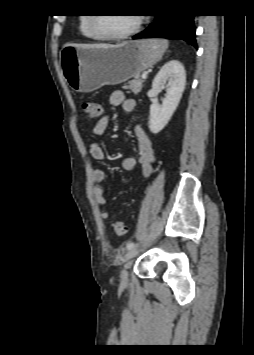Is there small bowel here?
Returning <instances> with one entry per match:
<instances>
[{
    "label": "small bowel",
    "instance_id": "c3829d8e",
    "mask_svg": "<svg viewBox=\"0 0 254 355\" xmlns=\"http://www.w3.org/2000/svg\"><path fill=\"white\" fill-rule=\"evenodd\" d=\"M110 104L122 105L126 112H133L136 109V102L133 99H127L124 92L121 90H115L110 95ZM108 125V118L103 117L90 132V153L96 160H104L105 153L97 142V138L105 131ZM134 135L138 143V155L128 156L122 160V168L126 171L135 169L136 166H140L141 173L145 178H148L153 173V165L155 162V153L151 139L146 134L145 130L140 126L134 127ZM107 177V172L104 168H94L92 170V180L95 183L103 182ZM92 194L95 201L99 205H105L107 203V195L105 189L100 185H94L92 188ZM100 217L103 220L110 218V212L108 210H101Z\"/></svg>",
    "mask_w": 254,
    "mask_h": 355
}]
</instances>
